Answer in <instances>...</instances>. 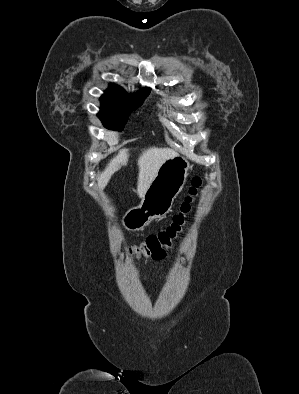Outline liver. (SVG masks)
I'll use <instances>...</instances> for the list:
<instances>
[{"mask_svg": "<svg viewBox=\"0 0 299 394\" xmlns=\"http://www.w3.org/2000/svg\"><path fill=\"white\" fill-rule=\"evenodd\" d=\"M176 155L177 152L170 148L149 147L148 149L143 150L137 160L139 169L137 193L140 198L144 196L150 187L161 165L166 160ZM128 158L129 150L121 149L119 153L110 160L106 168L97 178V185L99 189L103 190L111 179V176L122 166L127 165Z\"/></svg>", "mask_w": 299, "mask_h": 394, "instance_id": "6515ba94", "label": "liver"}]
</instances>
